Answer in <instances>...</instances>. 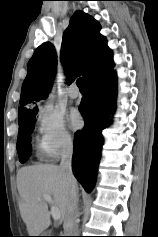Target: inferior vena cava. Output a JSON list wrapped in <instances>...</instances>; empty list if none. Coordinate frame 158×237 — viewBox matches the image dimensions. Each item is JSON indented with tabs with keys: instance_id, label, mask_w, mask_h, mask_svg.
<instances>
[{
	"instance_id": "1",
	"label": "inferior vena cava",
	"mask_w": 158,
	"mask_h": 237,
	"mask_svg": "<svg viewBox=\"0 0 158 237\" xmlns=\"http://www.w3.org/2000/svg\"><path fill=\"white\" fill-rule=\"evenodd\" d=\"M73 143L70 136L62 141L60 168L65 171L70 182V193L67 205V212L64 219V230L67 236H78V194L75 187V178L72 172Z\"/></svg>"
}]
</instances>
